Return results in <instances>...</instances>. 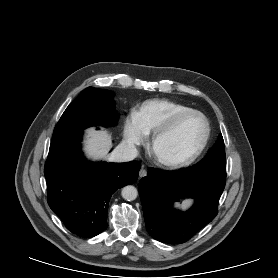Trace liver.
<instances>
[{
    "mask_svg": "<svg viewBox=\"0 0 278 278\" xmlns=\"http://www.w3.org/2000/svg\"><path fill=\"white\" fill-rule=\"evenodd\" d=\"M86 133L84 151L87 158L98 160L111 157L108 152L112 147V138L106 130L96 131L94 128H89Z\"/></svg>",
    "mask_w": 278,
    "mask_h": 278,
    "instance_id": "obj_1",
    "label": "liver"
}]
</instances>
